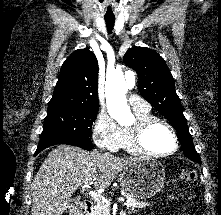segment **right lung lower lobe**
I'll return each mask as SVG.
<instances>
[{
	"label": "right lung lower lobe",
	"mask_w": 221,
	"mask_h": 215,
	"mask_svg": "<svg viewBox=\"0 0 221 215\" xmlns=\"http://www.w3.org/2000/svg\"><path fill=\"white\" fill-rule=\"evenodd\" d=\"M56 144L74 145V146H78V147L85 149V150L93 149V145H92L90 138L89 137H81V138L71 139V140H62V141L39 144L34 155H37L45 148L52 146V145H56Z\"/></svg>",
	"instance_id": "1"
}]
</instances>
